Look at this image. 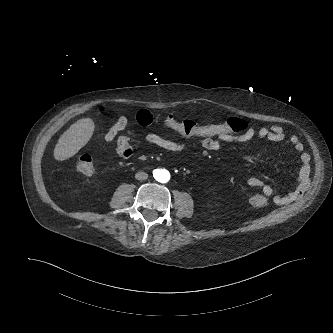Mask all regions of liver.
Here are the masks:
<instances>
[{"mask_svg":"<svg viewBox=\"0 0 333 333\" xmlns=\"http://www.w3.org/2000/svg\"><path fill=\"white\" fill-rule=\"evenodd\" d=\"M94 130L95 124L91 118H83L72 124L55 145V160L64 161L77 154L89 142Z\"/></svg>","mask_w":333,"mask_h":333,"instance_id":"1","label":"liver"}]
</instances>
